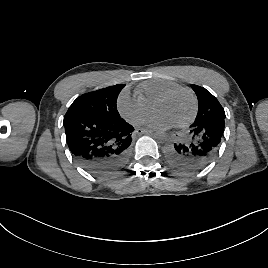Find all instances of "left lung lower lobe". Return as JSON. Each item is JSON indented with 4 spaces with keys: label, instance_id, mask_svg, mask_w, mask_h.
<instances>
[{
    "label": "left lung lower lobe",
    "instance_id": "1",
    "mask_svg": "<svg viewBox=\"0 0 268 268\" xmlns=\"http://www.w3.org/2000/svg\"><path fill=\"white\" fill-rule=\"evenodd\" d=\"M224 119L212 124H201L189 130L185 141L176 142L166 149L168 161L176 168L199 171L206 167L217 155L223 139Z\"/></svg>",
    "mask_w": 268,
    "mask_h": 268
}]
</instances>
